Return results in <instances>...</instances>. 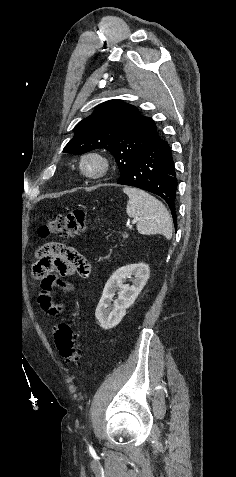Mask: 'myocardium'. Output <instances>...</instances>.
Instances as JSON below:
<instances>
[{
  "label": "myocardium",
  "instance_id": "obj_1",
  "mask_svg": "<svg viewBox=\"0 0 236 477\" xmlns=\"http://www.w3.org/2000/svg\"><path fill=\"white\" fill-rule=\"evenodd\" d=\"M89 160H94L98 163V169L96 171L90 172L86 169L85 164ZM110 164L108 159L97 153V152H87L83 154L79 160V171L80 173L89 179H98L104 176L109 170Z\"/></svg>",
  "mask_w": 236,
  "mask_h": 477
}]
</instances>
